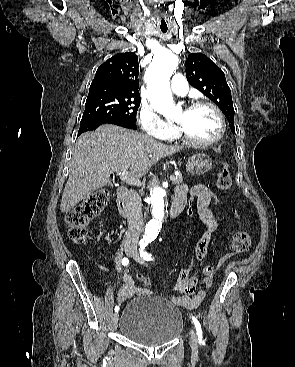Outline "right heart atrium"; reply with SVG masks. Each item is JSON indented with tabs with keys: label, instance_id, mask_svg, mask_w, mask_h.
<instances>
[{
	"label": "right heart atrium",
	"instance_id": "d8ad5b80",
	"mask_svg": "<svg viewBox=\"0 0 295 367\" xmlns=\"http://www.w3.org/2000/svg\"><path fill=\"white\" fill-rule=\"evenodd\" d=\"M138 122L149 135L159 139H169L175 135V128L164 121L154 107L142 104L138 111Z\"/></svg>",
	"mask_w": 295,
	"mask_h": 367
}]
</instances>
